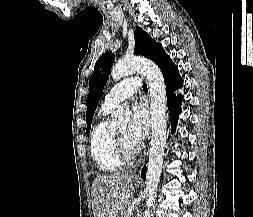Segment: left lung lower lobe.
<instances>
[{
  "label": "left lung lower lobe",
  "instance_id": "1",
  "mask_svg": "<svg viewBox=\"0 0 253 217\" xmlns=\"http://www.w3.org/2000/svg\"><path fill=\"white\" fill-rule=\"evenodd\" d=\"M159 67L163 73L166 85L167 103L171 117V131L174 132L177 119L181 113L180 104L183 98V96L180 94L176 96L174 94V91L182 87L183 79L179 75L177 66H175V64L170 59H168ZM141 177L144 180L146 179V166H144L142 169Z\"/></svg>",
  "mask_w": 253,
  "mask_h": 217
}]
</instances>
